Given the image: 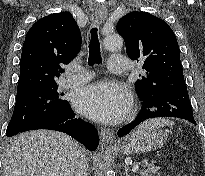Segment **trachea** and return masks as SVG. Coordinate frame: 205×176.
Listing matches in <instances>:
<instances>
[{"instance_id":"obj_1","label":"trachea","mask_w":205,"mask_h":176,"mask_svg":"<svg viewBox=\"0 0 205 176\" xmlns=\"http://www.w3.org/2000/svg\"><path fill=\"white\" fill-rule=\"evenodd\" d=\"M101 62H102V58H101V53H100L98 29L94 27L91 29L88 64L92 66L94 64H100Z\"/></svg>"}]
</instances>
